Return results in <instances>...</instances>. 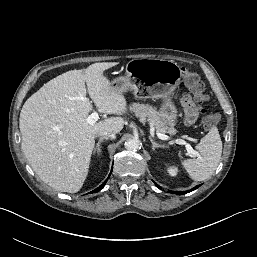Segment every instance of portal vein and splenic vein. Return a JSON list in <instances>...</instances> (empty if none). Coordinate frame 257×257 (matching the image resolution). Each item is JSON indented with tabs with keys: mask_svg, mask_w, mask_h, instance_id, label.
I'll use <instances>...</instances> for the list:
<instances>
[{
	"mask_svg": "<svg viewBox=\"0 0 257 257\" xmlns=\"http://www.w3.org/2000/svg\"><path fill=\"white\" fill-rule=\"evenodd\" d=\"M82 99H84V98H82ZM85 100H89V99H88V98H85ZM98 119H99V114H98V112L94 111L93 113H91V114L87 117V122H88L89 124H94L96 121H98ZM157 135H158V137H159L160 139H162V140H170V137H169L168 135H165V134H162V133H157ZM174 142H175L176 144H186L187 150H188L189 152H193L192 147H191L189 144L185 143L184 140H182V139H176V140H174Z\"/></svg>",
	"mask_w": 257,
	"mask_h": 257,
	"instance_id": "portal-vein-and-splenic-vein-1",
	"label": "portal vein and splenic vein"
}]
</instances>
